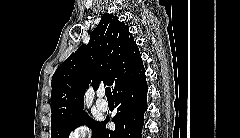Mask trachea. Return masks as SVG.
<instances>
[{
  "label": "trachea",
  "mask_w": 240,
  "mask_h": 138,
  "mask_svg": "<svg viewBox=\"0 0 240 138\" xmlns=\"http://www.w3.org/2000/svg\"><path fill=\"white\" fill-rule=\"evenodd\" d=\"M105 95H106V97H107L108 99L113 98V95H112V92H111V88H110V87H107V88L105 89Z\"/></svg>",
  "instance_id": "3493384b"
}]
</instances>
